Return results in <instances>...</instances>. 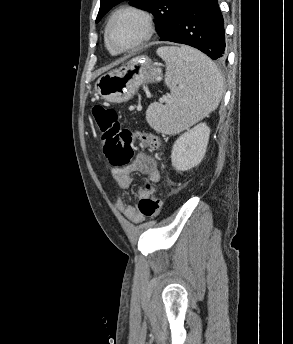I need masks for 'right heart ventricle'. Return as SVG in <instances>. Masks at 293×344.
Listing matches in <instances>:
<instances>
[{"label":"right heart ventricle","mask_w":293,"mask_h":344,"mask_svg":"<svg viewBox=\"0 0 293 344\" xmlns=\"http://www.w3.org/2000/svg\"><path fill=\"white\" fill-rule=\"evenodd\" d=\"M107 48H108V47H107ZM108 50L110 51L111 54H116V53L112 52L109 48H108Z\"/></svg>","instance_id":"right-heart-ventricle-1"}]
</instances>
